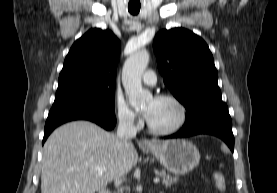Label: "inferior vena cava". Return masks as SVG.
Here are the masks:
<instances>
[{
	"instance_id": "1",
	"label": "inferior vena cava",
	"mask_w": 277,
	"mask_h": 193,
	"mask_svg": "<svg viewBox=\"0 0 277 193\" xmlns=\"http://www.w3.org/2000/svg\"><path fill=\"white\" fill-rule=\"evenodd\" d=\"M137 129L134 125V117L133 116H119V124L117 129V137L127 142L131 138L136 136Z\"/></svg>"
}]
</instances>
